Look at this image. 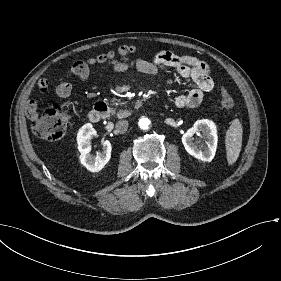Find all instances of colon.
<instances>
[{
    "mask_svg": "<svg viewBox=\"0 0 281 281\" xmlns=\"http://www.w3.org/2000/svg\"><path fill=\"white\" fill-rule=\"evenodd\" d=\"M135 53V47H121L115 53H108L94 58L91 64L99 68H109L128 62ZM76 64L77 71L83 70L84 67L81 66V62ZM219 93L222 107L232 108L235 106V101L223 88H219ZM67 123L68 117L65 114V109L60 104H53L43 114L34 119L32 129L37 138L43 141H57L62 138Z\"/></svg>",
    "mask_w": 281,
    "mask_h": 281,
    "instance_id": "1",
    "label": "colon"
}]
</instances>
